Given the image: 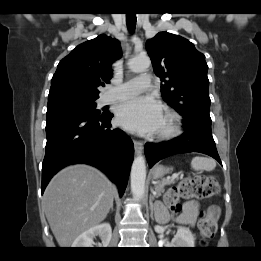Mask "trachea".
I'll list each match as a JSON object with an SVG mask.
<instances>
[{
	"label": "trachea",
	"instance_id": "1",
	"mask_svg": "<svg viewBox=\"0 0 261 261\" xmlns=\"http://www.w3.org/2000/svg\"><path fill=\"white\" fill-rule=\"evenodd\" d=\"M126 23L129 31L133 32L136 26V13H127Z\"/></svg>",
	"mask_w": 261,
	"mask_h": 261
}]
</instances>
